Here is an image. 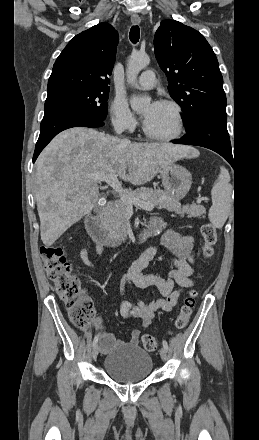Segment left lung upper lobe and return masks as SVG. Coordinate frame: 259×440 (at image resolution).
I'll return each instance as SVG.
<instances>
[{
  "instance_id": "1",
  "label": "left lung upper lobe",
  "mask_w": 259,
  "mask_h": 440,
  "mask_svg": "<svg viewBox=\"0 0 259 440\" xmlns=\"http://www.w3.org/2000/svg\"><path fill=\"white\" fill-rule=\"evenodd\" d=\"M155 56L168 77V91L183 110L187 128L206 114H226L217 58L204 36L175 20L161 22L154 36Z\"/></svg>"
}]
</instances>
